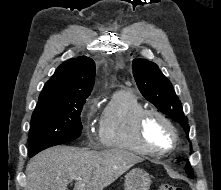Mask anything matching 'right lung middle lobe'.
<instances>
[{
	"instance_id": "right-lung-middle-lobe-1",
	"label": "right lung middle lobe",
	"mask_w": 221,
	"mask_h": 190,
	"mask_svg": "<svg viewBox=\"0 0 221 190\" xmlns=\"http://www.w3.org/2000/svg\"><path fill=\"white\" fill-rule=\"evenodd\" d=\"M84 103L36 107L28 138L29 157L48 147L77 139L82 131L80 113Z\"/></svg>"
}]
</instances>
